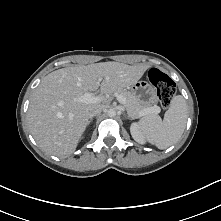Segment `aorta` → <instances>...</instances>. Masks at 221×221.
Segmentation results:
<instances>
[{
    "instance_id": "762f6f07",
    "label": "aorta",
    "mask_w": 221,
    "mask_h": 221,
    "mask_svg": "<svg viewBox=\"0 0 221 221\" xmlns=\"http://www.w3.org/2000/svg\"><path fill=\"white\" fill-rule=\"evenodd\" d=\"M107 114L109 117H114L116 116V110L114 108H111L108 110Z\"/></svg>"
}]
</instances>
